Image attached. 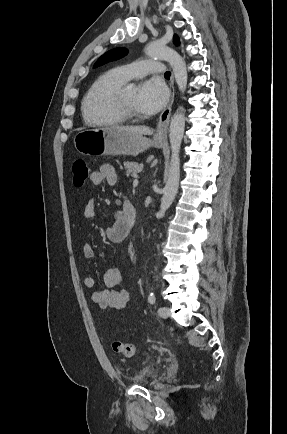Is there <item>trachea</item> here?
Segmentation results:
<instances>
[{"label":"trachea","mask_w":287,"mask_h":434,"mask_svg":"<svg viewBox=\"0 0 287 434\" xmlns=\"http://www.w3.org/2000/svg\"><path fill=\"white\" fill-rule=\"evenodd\" d=\"M166 78H170V76H171V73L168 71V72H166L165 73V75H164Z\"/></svg>","instance_id":"trachea-1"}]
</instances>
